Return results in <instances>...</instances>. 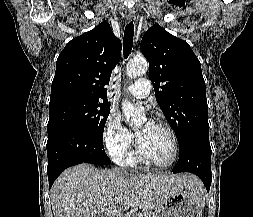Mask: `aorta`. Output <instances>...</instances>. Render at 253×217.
<instances>
[{
  "label": "aorta",
  "instance_id": "1",
  "mask_svg": "<svg viewBox=\"0 0 253 217\" xmlns=\"http://www.w3.org/2000/svg\"><path fill=\"white\" fill-rule=\"evenodd\" d=\"M148 70V62L145 58H134L127 64L126 73L128 77H137L143 75ZM122 110L127 121L131 124H140L144 121V110L135 107L131 102L125 100L122 102Z\"/></svg>",
  "mask_w": 253,
  "mask_h": 217
}]
</instances>
